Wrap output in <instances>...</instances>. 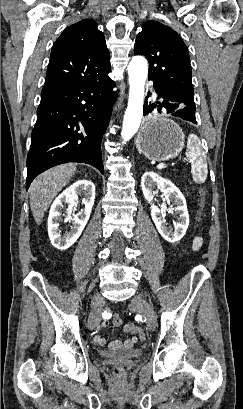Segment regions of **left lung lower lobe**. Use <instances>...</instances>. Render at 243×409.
I'll return each mask as SVG.
<instances>
[{
    "label": "left lung lower lobe",
    "mask_w": 243,
    "mask_h": 409,
    "mask_svg": "<svg viewBox=\"0 0 243 409\" xmlns=\"http://www.w3.org/2000/svg\"><path fill=\"white\" fill-rule=\"evenodd\" d=\"M154 88L161 100L156 101V104H147V102H145L144 115L157 109L159 113L167 112L173 116L197 124L195 118V104L192 97L156 83H154Z\"/></svg>",
    "instance_id": "left-lung-lower-lobe-1"
}]
</instances>
